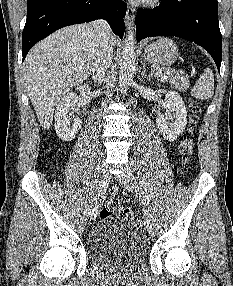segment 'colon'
<instances>
[{
	"label": "colon",
	"instance_id": "1",
	"mask_svg": "<svg viewBox=\"0 0 233 286\" xmlns=\"http://www.w3.org/2000/svg\"><path fill=\"white\" fill-rule=\"evenodd\" d=\"M198 112L199 107L196 102H190V117H189V135L182 141L180 150L183 155L184 161L188 160V157L193 150V140L191 134L194 128L197 125L198 121ZM117 215L118 219L124 222H128L133 227H141L142 222L140 218L135 215L131 210L127 208H121L116 210L115 203L112 201H107L100 210V217L103 218H112L114 215Z\"/></svg>",
	"mask_w": 233,
	"mask_h": 286
}]
</instances>
